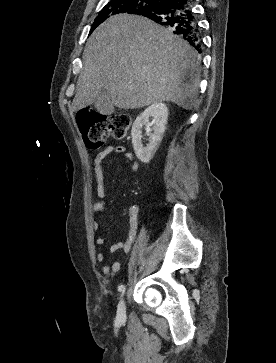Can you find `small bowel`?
I'll use <instances>...</instances> for the list:
<instances>
[{"label":"small bowel","mask_w":276,"mask_h":363,"mask_svg":"<svg viewBox=\"0 0 276 363\" xmlns=\"http://www.w3.org/2000/svg\"><path fill=\"white\" fill-rule=\"evenodd\" d=\"M120 153L129 163V167L132 171H136L138 169V161L133 156L131 152L127 150L126 147L117 144H111L105 147L102 151H100L94 158H93V171L95 175V179L97 182V195L98 200L92 205V211L97 214H103L106 209V202L104 198L106 196V190L104 187V169H103V162L107 157L112 154ZM138 215H139V207L137 205H132L129 208L128 212V219H129V230L126 239L122 241H118L113 243L109 247L110 253H115L119 250L128 253L131 248L132 244L137 235L138 229ZM91 226L93 230L97 231L99 229V223L96 220L91 221ZM105 242L103 237H97L95 239V243L99 246L103 245ZM96 259L98 262L105 261V253L102 251L97 252ZM122 268V264L118 261L112 264H106L102 267V272L106 276H112L118 273Z\"/></svg>","instance_id":"1"}]
</instances>
